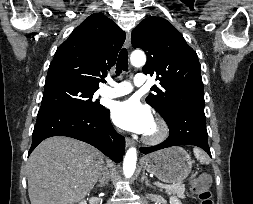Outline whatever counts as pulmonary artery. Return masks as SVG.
<instances>
[{"instance_id": "e3ab8cb5", "label": "pulmonary artery", "mask_w": 253, "mask_h": 204, "mask_svg": "<svg viewBox=\"0 0 253 204\" xmlns=\"http://www.w3.org/2000/svg\"><path fill=\"white\" fill-rule=\"evenodd\" d=\"M147 82L146 76L143 73H137L134 76L133 83L129 81H123L120 83H114L109 81V85L104 86L99 94L105 98H117L127 95L132 92L133 86H144Z\"/></svg>"}]
</instances>
